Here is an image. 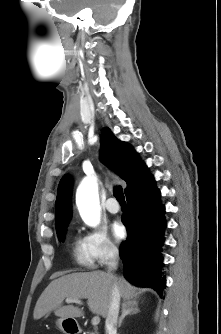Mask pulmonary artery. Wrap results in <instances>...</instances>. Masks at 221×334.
I'll return each instance as SVG.
<instances>
[{"instance_id": "pulmonary-artery-1", "label": "pulmonary artery", "mask_w": 221, "mask_h": 334, "mask_svg": "<svg viewBox=\"0 0 221 334\" xmlns=\"http://www.w3.org/2000/svg\"><path fill=\"white\" fill-rule=\"evenodd\" d=\"M105 207L107 211H109L112 214H116L120 211L119 204L116 202L115 198L112 197L106 201Z\"/></svg>"}]
</instances>
